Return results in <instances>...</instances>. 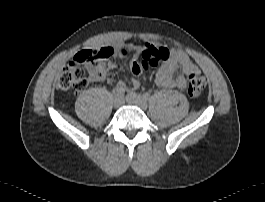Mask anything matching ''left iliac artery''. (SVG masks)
Here are the masks:
<instances>
[{"label": "left iliac artery", "instance_id": "44dca946", "mask_svg": "<svg viewBox=\"0 0 265 202\" xmlns=\"http://www.w3.org/2000/svg\"><path fill=\"white\" fill-rule=\"evenodd\" d=\"M142 97H143L145 100H149L151 96H150L149 93H144V94L142 95Z\"/></svg>", "mask_w": 265, "mask_h": 202}]
</instances>
